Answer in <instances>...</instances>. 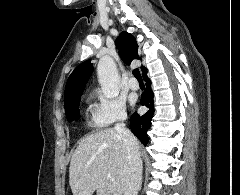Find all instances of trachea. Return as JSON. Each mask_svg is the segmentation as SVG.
<instances>
[{
    "instance_id": "1",
    "label": "trachea",
    "mask_w": 240,
    "mask_h": 195,
    "mask_svg": "<svg viewBox=\"0 0 240 195\" xmlns=\"http://www.w3.org/2000/svg\"><path fill=\"white\" fill-rule=\"evenodd\" d=\"M133 75L138 80L139 84H144V81L138 68H135V70H133Z\"/></svg>"
}]
</instances>
